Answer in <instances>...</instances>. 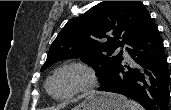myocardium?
I'll use <instances>...</instances> for the list:
<instances>
[{"mask_svg": "<svg viewBox=\"0 0 171 110\" xmlns=\"http://www.w3.org/2000/svg\"><path fill=\"white\" fill-rule=\"evenodd\" d=\"M68 70H76L83 74V81L64 96H55L50 91L52 80L60 73ZM99 79L95 70L86 63L79 61L66 62L57 67L46 81V91L55 100L66 101L81 94L91 93L98 87Z\"/></svg>", "mask_w": 171, "mask_h": 110, "instance_id": "f54148a6", "label": "myocardium"}]
</instances>
